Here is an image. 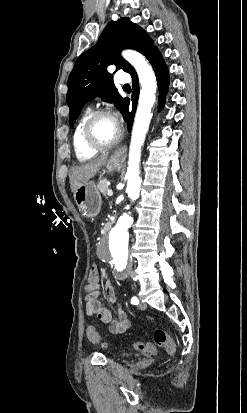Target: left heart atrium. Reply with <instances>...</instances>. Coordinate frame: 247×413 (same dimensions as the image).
Returning a JSON list of instances; mask_svg holds the SVG:
<instances>
[{
	"instance_id": "left-heart-atrium-1",
	"label": "left heart atrium",
	"mask_w": 247,
	"mask_h": 413,
	"mask_svg": "<svg viewBox=\"0 0 247 413\" xmlns=\"http://www.w3.org/2000/svg\"><path fill=\"white\" fill-rule=\"evenodd\" d=\"M106 119L112 128H119L120 120L118 112L109 113Z\"/></svg>"
}]
</instances>
